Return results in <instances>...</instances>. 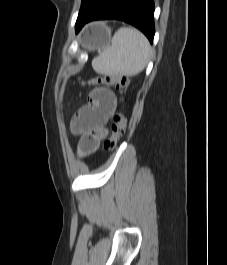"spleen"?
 I'll return each mask as SVG.
<instances>
[{"label":"spleen","instance_id":"1","mask_svg":"<svg viewBox=\"0 0 227 265\" xmlns=\"http://www.w3.org/2000/svg\"><path fill=\"white\" fill-rule=\"evenodd\" d=\"M151 46L137 29L122 27L112 37L111 45L92 60L94 71L108 76H135L148 64Z\"/></svg>","mask_w":227,"mask_h":265}]
</instances>
